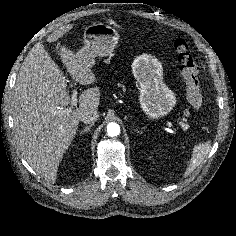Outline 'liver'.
<instances>
[{
  "label": "liver",
  "mask_w": 236,
  "mask_h": 236,
  "mask_svg": "<svg viewBox=\"0 0 236 236\" xmlns=\"http://www.w3.org/2000/svg\"><path fill=\"white\" fill-rule=\"evenodd\" d=\"M70 29L67 25L55 30L47 41H57ZM60 55L74 80L81 85L96 82L91 66L76 57V53L61 47ZM99 103L100 90L94 87L79 96L78 107H72L65 76L43 44L38 42L29 51L13 93L15 138L24 159L47 182L55 183L59 163L76 135L81 114L97 110ZM60 108L71 111L63 113Z\"/></svg>",
  "instance_id": "1"
}]
</instances>
